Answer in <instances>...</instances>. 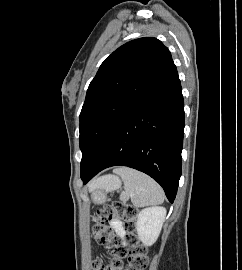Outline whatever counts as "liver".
<instances>
[{
  "label": "liver",
  "mask_w": 242,
  "mask_h": 270,
  "mask_svg": "<svg viewBox=\"0 0 242 270\" xmlns=\"http://www.w3.org/2000/svg\"><path fill=\"white\" fill-rule=\"evenodd\" d=\"M111 178H112V176L101 177V178L95 180L92 185L96 186V185H101V184L107 183L110 181Z\"/></svg>",
  "instance_id": "1"
}]
</instances>
